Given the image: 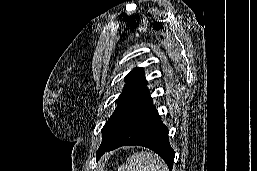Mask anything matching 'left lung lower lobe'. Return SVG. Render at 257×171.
Listing matches in <instances>:
<instances>
[{
	"label": "left lung lower lobe",
	"instance_id": "1",
	"mask_svg": "<svg viewBox=\"0 0 257 171\" xmlns=\"http://www.w3.org/2000/svg\"><path fill=\"white\" fill-rule=\"evenodd\" d=\"M168 133L151 101L117 137L99 147L96 158L98 160L105 152L121 146L139 145L156 152L172 171L175 152Z\"/></svg>",
	"mask_w": 257,
	"mask_h": 171
}]
</instances>
